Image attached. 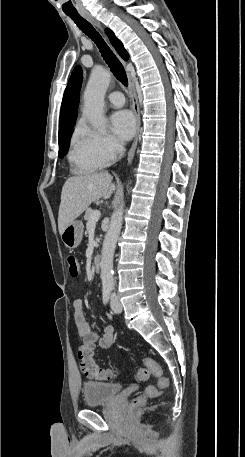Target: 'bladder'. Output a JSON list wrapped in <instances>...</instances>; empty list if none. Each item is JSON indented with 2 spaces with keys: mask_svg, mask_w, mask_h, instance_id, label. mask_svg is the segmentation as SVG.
Returning <instances> with one entry per match:
<instances>
[{
  "mask_svg": "<svg viewBox=\"0 0 245 457\" xmlns=\"http://www.w3.org/2000/svg\"><path fill=\"white\" fill-rule=\"evenodd\" d=\"M121 390L118 383L109 382H88L84 383L85 406L110 402L113 395H117Z\"/></svg>",
  "mask_w": 245,
  "mask_h": 457,
  "instance_id": "1",
  "label": "bladder"
}]
</instances>
